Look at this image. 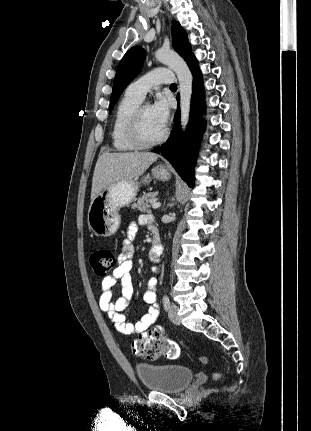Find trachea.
I'll return each mask as SVG.
<instances>
[{
	"instance_id": "trachea-1",
	"label": "trachea",
	"mask_w": 311,
	"mask_h": 431,
	"mask_svg": "<svg viewBox=\"0 0 311 431\" xmlns=\"http://www.w3.org/2000/svg\"><path fill=\"white\" fill-rule=\"evenodd\" d=\"M170 88H177V85H175V83H172V84L170 85Z\"/></svg>"
}]
</instances>
